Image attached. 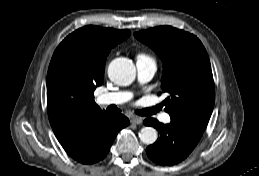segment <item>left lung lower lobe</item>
<instances>
[{"label":"left lung lower lobe","mask_w":259,"mask_h":176,"mask_svg":"<svg viewBox=\"0 0 259 176\" xmlns=\"http://www.w3.org/2000/svg\"><path fill=\"white\" fill-rule=\"evenodd\" d=\"M144 124L155 127L160 133L157 141L146 149L148 157L160 165L170 166L183 161L198 144L204 132L172 119L169 124L164 125L154 118H147Z\"/></svg>","instance_id":"1"}]
</instances>
